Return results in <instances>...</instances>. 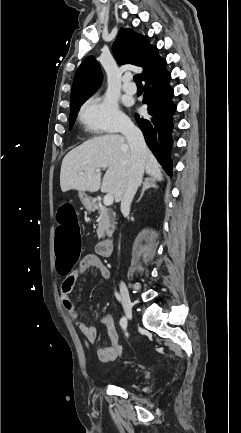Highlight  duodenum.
Masks as SVG:
<instances>
[{"instance_id":"duodenum-1","label":"duodenum","mask_w":241,"mask_h":433,"mask_svg":"<svg viewBox=\"0 0 241 433\" xmlns=\"http://www.w3.org/2000/svg\"><path fill=\"white\" fill-rule=\"evenodd\" d=\"M89 204L92 206V201H89ZM113 249V240L111 238H106L103 241L99 242L97 245V251L101 256L109 257L112 253Z\"/></svg>"}]
</instances>
